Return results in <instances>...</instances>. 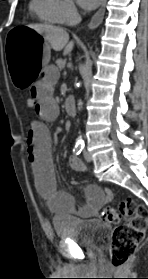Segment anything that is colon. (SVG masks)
I'll return each mask as SVG.
<instances>
[{"label":"colon","instance_id":"5ec220e1","mask_svg":"<svg viewBox=\"0 0 148 279\" xmlns=\"http://www.w3.org/2000/svg\"><path fill=\"white\" fill-rule=\"evenodd\" d=\"M26 106L35 109L36 98L29 95ZM101 218L116 225L111 238V262L115 267L123 266L143 240L148 228V210L133 199H126L117 208L102 211Z\"/></svg>","mask_w":148,"mask_h":279}]
</instances>
